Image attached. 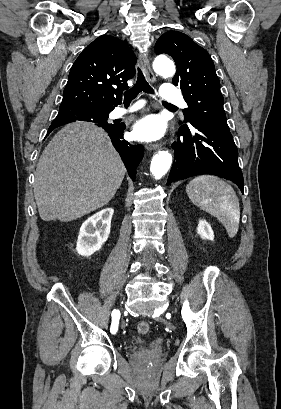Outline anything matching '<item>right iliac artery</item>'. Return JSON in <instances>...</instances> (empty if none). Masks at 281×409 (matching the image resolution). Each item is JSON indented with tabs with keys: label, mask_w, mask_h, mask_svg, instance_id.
<instances>
[{
	"label": "right iliac artery",
	"mask_w": 281,
	"mask_h": 409,
	"mask_svg": "<svg viewBox=\"0 0 281 409\" xmlns=\"http://www.w3.org/2000/svg\"><path fill=\"white\" fill-rule=\"evenodd\" d=\"M120 318V312L118 310H113L112 311V324L110 331L112 334H115L118 330V322Z\"/></svg>",
	"instance_id": "1"
}]
</instances>
